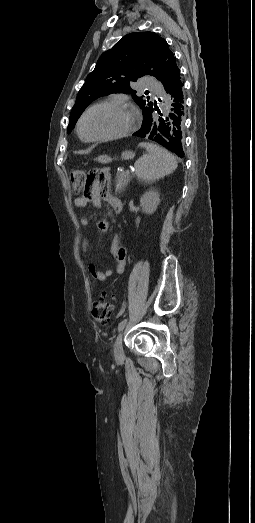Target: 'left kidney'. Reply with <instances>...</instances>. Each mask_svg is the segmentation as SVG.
Instances as JSON below:
<instances>
[{
    "instance_id": "obj_1",
    "label": "left kidney",
    "mask_w": 255,
    "mask_h": 523,
    "mask_svg": "<svg viewBox=\"0 0 255 523\" xmlns=\"http://www.w3.org/2000/svg\"><path fill=\"white\" fill-rule=\"evenodd\" d=\"M159 196L160 194H158L157 190H148V192H145L140 198L142 212H145V214H153V212L157 210L160 202Z\"/></svg>"
}]
</instances>
